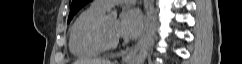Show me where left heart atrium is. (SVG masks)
<instances>
[{"label":"left heart atrium","instance_id":"39dd6f15","mask_svg":"<svg viewBox=\"0 0 242 64\" xmlns=\"http://www.w3.org/2000/svg\"><path fill=\"white\" fill-rule=\"evenodd\" d=\"M143 29V17L137 9L124 10L116 25L115 35L127 39L140 35Z\"/></svg>","mask_w":242,"mask_h":64}]
</instances>
